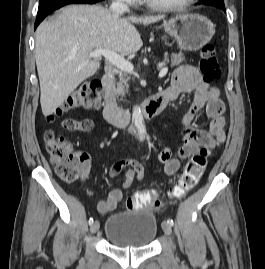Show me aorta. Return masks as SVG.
I'll return each mask as SVG.
<instances>
[{
    "label": "aorta",
    "instance_id": "1",
    "mask_svg": "<svg viewBox=\"0 0 265 269\" xmlns=\"http://www.w3.org/2000/svg\"><path fill=\"white\" fill-rule=\"evenodd\" d=\"M132 122L137 130V137L143 141L146 137V126L139 106H134L132 111Z\"/></svg>",
    "mask_w": 265,
    "mask_h": 269
}]
</instances>
